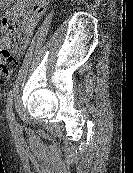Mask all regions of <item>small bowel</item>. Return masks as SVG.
<instances>
[{
	"mask_svg": "<svg viewBox=\"0 0 133 173\" xmlns=\"http://www.w3.org/2000/svg\"><path fill=\"white\" fill-rule=\"evenodd\" d=\"M13 0H0V10ZM49 0H18L6 8L0 17V47H9L11 44L15 52L20 55L26 48L36 24L45 11ZM22 18L20 23L16 20ZM11 38L14 39L11 43ZM15 41L18 42L15 45Z\"/></svg>",
	"mask_w": 133,
	"mask_h": 173,
	"instance_id": "small-bowel-1",
	"label": "small bowel"
}]
</instances>
